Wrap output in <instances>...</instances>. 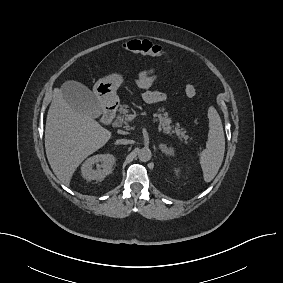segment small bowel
<instances>
[{"instance_id":"obj_1","label":"small bowel","mask_w":283,"mask_h":283,"mask_svg":"<svg viewBox=\"0 0 283 283\" xmlns=\"http://www.w3.org/2000/svg\"><path fill=\"white\" fill-rule=\"evenodd\" d=\"M160 78L155 68L140 71L136 76V84L139 88L145 90L143 99L146 103L153 104L162 102L166 99V95L160 91H152L149 88Z\"/></svg>"}]
</instances>
